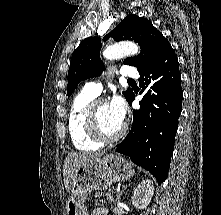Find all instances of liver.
Segmentation results:
<instances>
[{"label":"liver","instance_id":"liver-1","mask_svg":"<svg viewBox=\"0 0 221 215\" xmlns=\"http://www.w3.org/2000/svg\"><path fill=\"white\" fill-rule=\"evenodd\" d=\"M104 153L98 152V153H77L72 152L68 154L64 161L63 165V176H64V184L66 190L70 191V184H71V178L74 174L75 169L82 163L91 160L100 158Z\"/></svg>","mask_w":221,"mask_h":215}]
</instances>
